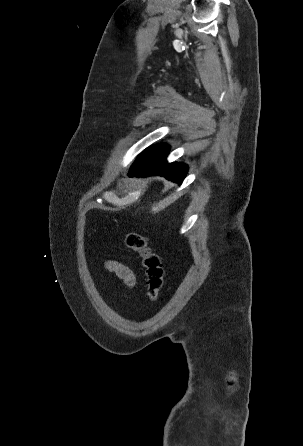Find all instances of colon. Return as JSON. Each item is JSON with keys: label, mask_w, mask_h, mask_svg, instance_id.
Masks as SVG:
<instances>
[{"label": "colon", "mask_w": 303, "mask_h": 446, "mask_svg": "<svg viewBox=\"0 0 303 446\" xmlns=\"http://www.w3.org/2000/svg\"><path fill=\"white\" fill-rule=\"evenodd\" d=\"M125 244L140 256L145 269L147 296L151 301H155L164 280V268L160 256L149 247L147 239L139 233H128Z\"/></svg>", "instance_id": "1"}]
</instances>
